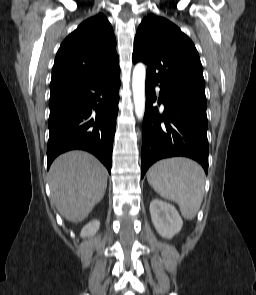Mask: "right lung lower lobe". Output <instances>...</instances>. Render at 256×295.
Instances as JSON below:
<instances>
[{
	"label": "right lung lower lobe",
	"instance_id": "1",
	"mask_svg": "<svg viewBox=\"0 0 256 295\" xmlns=\"http://www.w3.org/2000/svg\"><path fill=\"white\" fill-rule=\"evenodd\" d=\"M120 69L51 91L47 167L61 153L82 149L111 172Z\"/></svg>",
	"mask_w": 256,
	"mask_h": 295
}]
</instances>
